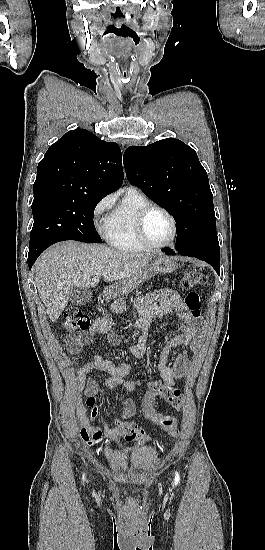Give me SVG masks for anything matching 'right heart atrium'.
Here are the masks:
<instances>
[{
  "label": "right heart atrium",
  "instance_id": "right-heart-atrium-1",
  "mask_svg": "<svg viewBox=\"0 0 265 550\" xmlns=\"http://www.w3.org/2000/svg\"><path fill=\"white\" fill-rule=\"evenodd\" d=\"M113 202L112 196L108 195L103 198H101L95 205L93 210V217H94V223L97 227V229L104 233L105 231V213L109 209Z\"/></svg>",
  "mask_w": 265,
  "mask_h": 550
}]
</instances>
